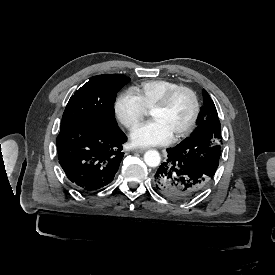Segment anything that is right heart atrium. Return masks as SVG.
<instances>
[{"mask_svg":"<svg viewBox=\"0 0 275 275\" xmlns=\"http://www.w3.org/2000/svg\"><path fill=\"white\" fill-rule=\"evenodd\" d=\"M147 110L133 91H125L115 102V112L120 122L129 130L143 120Z\"/></svg>","mask_w":275,"mask_h":275,"instance_id":"right-heart-atrium-1","label":"right heart atrium"}]
</instances>
